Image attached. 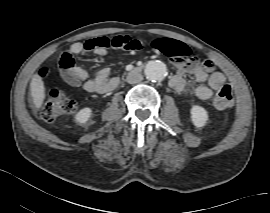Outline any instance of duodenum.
I'll use <instances>...</instances> for the list:
<instances>
[{
	"instance_id": "1",
	"label": "duodenum",
	"mask_w": 270,
	"mask_h": 213,
	"mask_svg": "<svg viewBox=\"0 0 270 213\" xmlns=\"http://www.w3.org/2000/svg\"><path fill=\"white\" fill-rule=\"evenodd\" d=\"M134 70H135L136 72H141V71L143 70V68H142V67H136Z\"/></svg>"
}]
</instances>
